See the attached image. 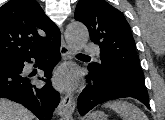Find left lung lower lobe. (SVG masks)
<instances>
[{
	"instance_id": "obj_1",
	"label": "left lung lower lobe",
	"mask_w": 165,
	"mask_h": 120,
	"mask_svg": "<svg viewBox=\"0 0 165 120\" xmlns=\"http://www.w3.org/2000/svg\"><path fill=\"white\" fill-rule=\"evenodd\" d=\"M88 70L89 74L86 77L88 85L78 97V110L81 115H85L98 104L125 97H133L150 109L146 88L102 85L100 79L91 71L92 69L90 66H88Z\"/></svg>"
}]
</instances>
